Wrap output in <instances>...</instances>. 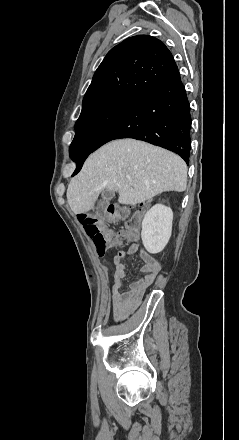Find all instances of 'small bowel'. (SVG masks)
Masks as SVG:
<instances>
[{
	"label": "small bowel",
	"mask_w": 239,
	"mask_h": 440,
	"mask_svg": "<svg viewBox=\"0 0 239 440\" xmlns=\"http://www.w3.org/2000/svg\"><path fill=\"white\" fill-rule=\"evenodd\" d=\"M140 250L144 262L141 268L143 276L129 285V289L122 292L127 269L125 260ZM115 273L112 289L113 315L116 320H122L131 314L141 302L147 288L154 282L161 271V263L137 244H131L127 250L119 251L114 257Z\"/></svg>",
	"instance_id": "1"
}]
</instances>
